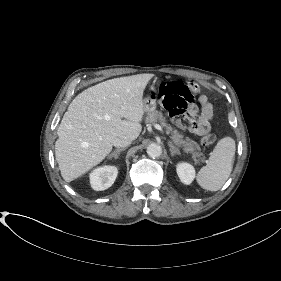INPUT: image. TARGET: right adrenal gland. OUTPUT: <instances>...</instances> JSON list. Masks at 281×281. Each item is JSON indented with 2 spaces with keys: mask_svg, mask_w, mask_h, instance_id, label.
<instances>
[{
  "mask_svg": "<svg viewBox=\"0 0 281 281\" xmlns=\"http://www.w3.org/2000/svg\"><path fill=\"white\" fill-rule=\"evenodd\" d=\"M124 148H118L114 150L110 155H108L107 159L115 158L117 159L119 157L120 152L124 151Z\"/></svg>",
  "mask_w": 281,
  "mask_h": 281,
  "instance_id": "2a0ac1e0",
  "label": "right adrenal gland"
}]
</instances>
